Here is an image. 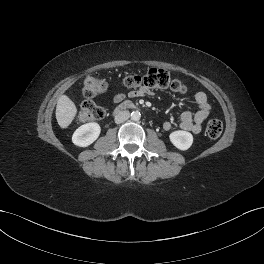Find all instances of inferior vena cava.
<instances>
[{
    "mask_svg": "<svg viewBox=\"0 0 264 264\" xmlns=\"http://www.w3.org/2000/svg\"><path fill=\"white\" fill-rule=\"evenodd\" d=\"M129 117H130L129 111H120L115 116V123H117V124L123 123L124 121L128 120Z\"/></svg>",
    "mask_w": 264,
    "mask_h": 264,
    "instance_id": "1",
    "label": "inferior vena cava"
}]
</instances>
